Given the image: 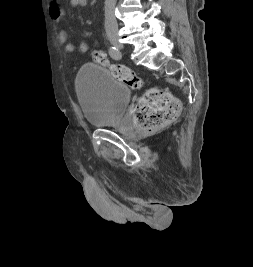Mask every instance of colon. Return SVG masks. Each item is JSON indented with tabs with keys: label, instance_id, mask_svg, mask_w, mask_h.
Instances as JSON below:
<instances>
[{
	"label": "colon",
	"instance_id": "1",
	"mask_svg": "<svg viewBox=\"0 0 253 267\" xmlns=\"http://www.w3.org/2000/svg\"><path fill=\"white\" fill-rule=\"evenodd\" d=\"M80 53H87L89 46L80 41L77 46ZM94 62L107 68L118 80L133 89L142 86V79L124 65L110 63L101 50L92 52ZM180 103L173 96L160 89L148 90L140 99L134 112V123L141 132L150 133L173 121L179 114Z\"/></svg>",
	"mask_w": 253,
	"mask_h": 267
}]
</instances>
